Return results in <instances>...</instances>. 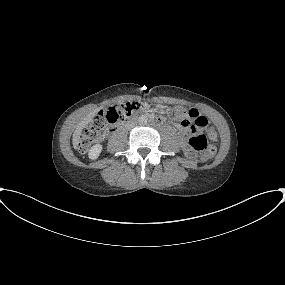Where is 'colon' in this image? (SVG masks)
<instances>
[{
	"instance_id": "5ec220e1",
	"label": "colon",
	"mask_w": 285,
	"mask_h": 285,
	"mask_svg": "<svg viewBox=\"0 0 285 285\" xmlns=\"http://www.w3.org/2000/svg\"><path fill=\"white\" fill-rule=\"evenodd\" d=\"M142 108L143 105L141 102L124 101L112 106L107 112L99 113L77 134V148L83 153L88 151L93 144L101 140L104 134L110 129L111 125L121 122L126 116ZM172 114L174 117L180 118L183 114V110L180 108H174L172 110ZM191 120L192 124L187 120L182 122L183 127H189L191 125L190 136L184 146V150L187 153L201 152L202 155L200 161L205 163L215 156L216 148L208 143V139L205 134L198 132V128L206 125L205 118L200 115L199 117ZM207 135L210 138H215L216 133L213 128H209Z\"/></svg>"
}]
</instances>
